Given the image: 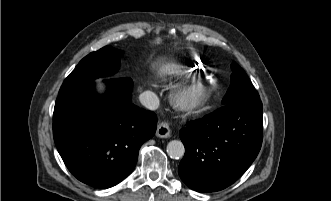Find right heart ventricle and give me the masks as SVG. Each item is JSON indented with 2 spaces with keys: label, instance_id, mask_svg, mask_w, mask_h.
I'll use <instances>...</instances> for the list:
<instances>
[{
  "label": "right heart ventricle",
  "instance_id": "obj_1",
  "mask_svg": "<svg viewBox=\"0 0 331 201\" xmlns=\"http://www.w3.org/2000/svg\"><path fill=\"white\" fill-rule=\"evenodd\" d=\"M190 66L191 63H189V65H182L177 70L165 71L159 75V78L162 80H171L178 76H184L192 77L193 80H195V78L199 75V70L194 66Z\"/></svg>",
  "mask_w": 331,
  "mask_h": 201
}]
</instances>
